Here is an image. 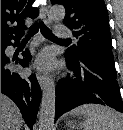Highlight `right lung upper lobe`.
<instances>
[{"instance_id": "1", "label": "right lung upper lobe", "mask_w": 123, "mask_h": 130, "mask_svg": "<svg viewBox=\"0 0 123 130\" xmlns=\"http://www.w3.org/2000/svg\"><path fill=\"white\" fill-rule=\"evenodd\" d=\"M33 1L1 0V44L20 39L27 29L23 20L38 15V9L31 6Z\"/></svg>"}]
</instances>
